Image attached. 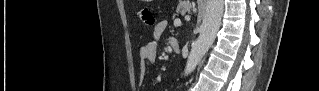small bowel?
Returning a JSON list of instances; mask_svg holds the SVG:
<instances>
[{"label": "small bowel", "mask_w": 319, "mask_h": 91, "mask_svg": "<svg viewBox=\"0 0 319 91\" xmlns=\"http://www.w3.org/2000/svg\"><path fill=\"white\" fill-rule=\"evenodd\" d=\"M167 28V21H159L152 31L151 39L140 48V76L143 77L146 73L148 65L156 63L157 60V41Z\"/></svg>", "instance_id": "1"}]
</instances>
